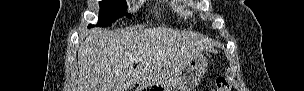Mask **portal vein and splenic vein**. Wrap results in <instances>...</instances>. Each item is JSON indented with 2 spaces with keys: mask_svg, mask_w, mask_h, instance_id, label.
I'll return each instance as SVG.
<instances>
[{
  "mask_svg": "<svg viewBox=\"0 0 304 91\" xmlns=\"http://www.w3.org/2000/svg\"><path fill=\"white\" fill-rule=\"evenodd\" d=\"M133 61L134 62H140V61H143V59L141 57H134Z\"/></svg>",
  "mask_w": 304,
  "mask_h": 91,
  "instance_id": "portal-vein-and-splenic-vein-1",
  "label": "portal vein and splenic vein"
}]
</instances>
